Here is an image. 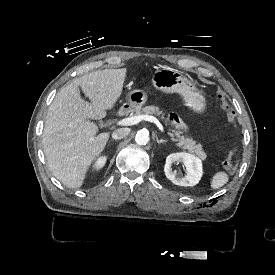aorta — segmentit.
Returning <instances> with one entry per match:
<instances>
[{
  "label": "aorta",
  "instance_id": "762f6f07",
  "mask_svg": "<svg viewBox=\"0 0 275 275\" xmlns=\"http://www.w3.org/2000/svg\"><path fill=\"white\" fill-rule=\"evenodd\" d=\"M149 134L145 131H140L135 135V142L138 145H146L149 142Z\"/></svg>",
  "mask_w": 275,
  "mask_h": 275
}]
</instances>
